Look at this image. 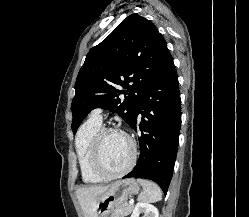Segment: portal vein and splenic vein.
Masks as SVG:
<instances>
[{"label": "portal vein and splenic vein", "instance_id": "18ae733b", "mask_svg": "<svg viewBox=\"0 0 249 217\" xmlns=\"http://www.w3.org/2000/svg\"><path fill=\"white\" fill-rule=\"evenodd\" d=\"M133 203H134V201H133V200H130V201H129V204H130V205H132Z\"/></svg>", "mask_w": 249, "mask_h": 217}]
</instances>
